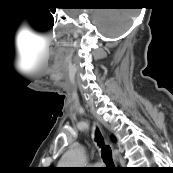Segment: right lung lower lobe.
I'll return each instance as SVG.
<instances>
[{
    "label": "right lung lower lobe",
    "instance_id": "right-lung-lower-lobe-1",
    "mask_svg": "<svg viewBox=\"0 0 173 173\" xmlns=\"http://www.w3.org/2000/svg\"><path fill=\"white\" fill-rule=\"evenodd\" d=\"M118 172H120V173H128L130 171L129 170H118Z\"/></svg>",
    "mask_w": 173,
    "mask_h": 173
}]
</instances>
